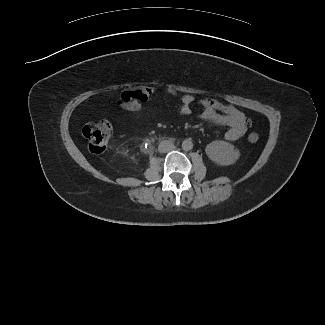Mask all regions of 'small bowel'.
I'll return each instance as SVG.
<instances>
[{"label": "small bowel", "instance_id": "c3829d8e", "mask_svg": "<svg viewBox=\"0 0 325 325\" xmlns=\"http://www.w3.org/2000/svg\"><path fill=\"white\" fill-rule=\"evenodd\" d=\"M156 93L152 87H142L121 94L116 99L119 108L141 113L147 110V101ZM167 94L179 99L178 114L188 116L191 114L194 98L190 94H180L175 89H168ZM201 111L198 114L200 120L208 125L227 126L225 139L228 141L239 140L246 132L250 122L245 115L233 105H224L213 98H205L199 101Z\"/></svg>", "mask_w": 325, "mask_h": 325}]
</instances>
